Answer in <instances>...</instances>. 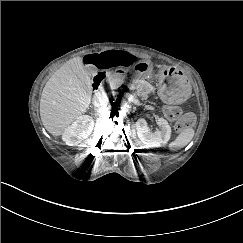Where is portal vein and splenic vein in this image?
Instances as JSON below:
<instances>
[{"label":"portal vein and splenic vein","instance_id":"portal-vein-and-splenic-vein-1","mask_svg":"<svg viewBox=\"0 0 243 243\" xmlns=\"http://www.w3.org/2000/svg\"><path fill=\"white\" fill-rule=\"evenodd\" d=\"M121 84H126V81H118V80H113L109 83V86L112 90L118 89ZM136 85L135 84H130L129 89L130 90H136Z\"/></svg>","mask_w":243,"mask_h":243}]
</instances>
